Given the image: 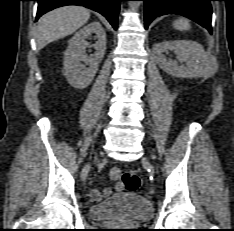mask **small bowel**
Returning a JSON list of instances; mask_svg holds the SVG:
<instances>
[{
  "instance_id": "small-bowel-1",
  "label": "small bowel",
  "mask_w": 234,
  "mask_h": 231,
  "mask_svg": "<svg viewBox=\"0 0 234 231\" xmlns=\"http://www.w3.org/2000/svg\"><path fill=\"white\" fill-rule=\"evenodd\" d=\"M124 190V185L121 182H117L114 187L105 188L102 192H99L97 189L92 188L90 190V197L94 201L101 200L102 198H106L111 196L114 192H121Z\"/></svg>"
}]
</instances>
